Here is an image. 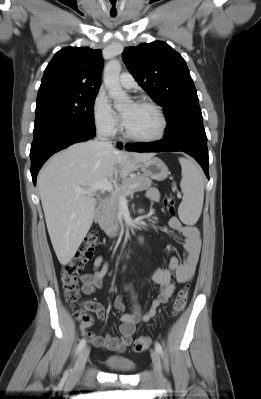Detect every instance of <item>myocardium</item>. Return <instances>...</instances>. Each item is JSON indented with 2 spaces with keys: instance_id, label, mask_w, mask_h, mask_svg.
Here are the masks:
<instances>
[{
  "instance_id": "1",
  "label": "myocardium",
  "mask_w": 261,
  "mask_h": 399,
  "mask_svg": "<svg viewBox=\"0 0 261 399\" xmlns=\"http://www.w3.org/2000/svg\"><path fill=\"white\" fill-rule=\"evenodd\" d=\"M138 104L147 106L156 112V114L158 115V117L160 119V128L156 134H154L152 136L142 137V136H137V135L132 134L127 129L125 122H123L122 128H123L124 136L129 140H132L135 142H141V143H151V142H156V141L161 140L165 136L167 129H168V119H167L164 111L158 104H156L155 102L150 101V100H146V99L139 100Z\"/></svg>"
}]
</instances>
